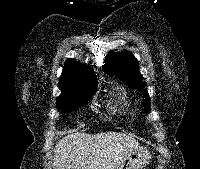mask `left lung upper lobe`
<instances>
[{
  "mask_svg": "<svg viewBox=\"0 0 200 169\" xmlns=\"http://www.w3.org/2000/svg\"><path fill=\"white\" fill-rule=\"evenodd\" d=\"M103 71L117 76L118 79L126 82L131 88L141 90L145 97V111L150 112V98L144 89L145 83L142 82L143 77L139 73L138 61L132 53L128 51L121 53L110 51L105 58Z\"/></svg>",
  "mask_w": 200,
  "mask_h": 169,
  "instance_id": "left-lung-upper-lobe-1",
  "label": "left lung upper lobe"
}]
</instances>
